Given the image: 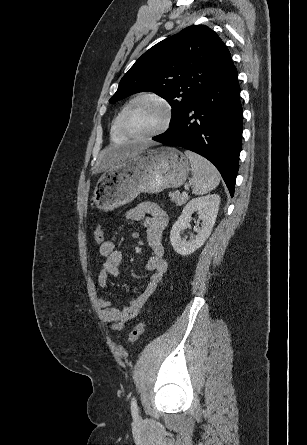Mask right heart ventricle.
Instances as JSON below:
<instances>
[{
	"instance_id": "right-heart-ventricle-1",
	"label": "right heart ventricle",
	"mask_w": 307,
	"mask_h": 445,
	"mask_svg": "<svg viewBox=\"0 0 307 445\" xmlns=\"http://www.w3.org/2000/svg\"><path fill=\"white\" fill-rule=\"evenodd\" d=\"M111 137L112 141L129 139L124 129L122 112L113 121V124L111 126Z\"/></svg>"
}]
</instances>
